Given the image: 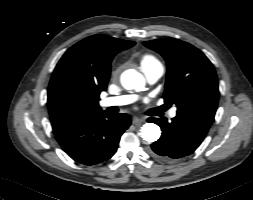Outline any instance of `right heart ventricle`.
I'll return each mask as SVG.
<instances>
[{"label": "right heart ventricle", "mask_w": 253, "mask_h": 200, "mask_svg": "<svg viewBox=\"0 0 253 200\" xmlns=\"http://www.w3.org/2000/svg\"><path fill=\"white\" fill-rule=\"evenodd\" d=\"M155 62H158L157 59L152 56V55H144L142 58H141V65H145V64H152V63H155Z\"/></svg>", "instance_id": "1"}]
</instances>
